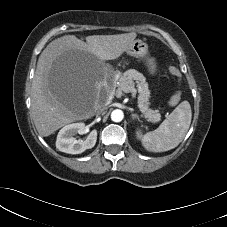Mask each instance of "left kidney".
<instances>
[{
    "mask_svg": "<svg viewBox=\"0 0 227 227\" xmlns=\"http://www.w3.org/2000/svg\"><path fill=\"white\" fill-rule=\"evenodd\" d=\"M136 134H137V137H140V134H141L140 130L137 131Z\"/></svg>",
    "mask_w": 227,
    "mask_h": 227,
    "instance_id": "left-kidney-1",
    "label": "left kidney"
}]
</instances>
